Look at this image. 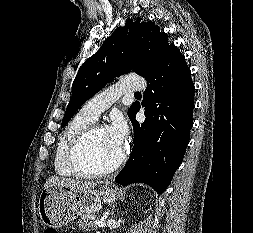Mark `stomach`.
<instances>
[{
  "mask_svg": "<svg viewBox=\"0 0 253 233\" xmlns=\"http://www.w3.org/2000/svg\"><path fill=\"white\" fill-rule=\"evenodd\" d=\"M116 193L117 189L110 183L85 192L63 186L45 187L39 198L40 220L47 227H62L80 214L97 212L103 202L113 204Z\"/></svg>",
  "mask_w": 253,
  "mask_h": 233,
  "instance_id": "obj_1",
  "label": "stomach"
}]
</instances>
